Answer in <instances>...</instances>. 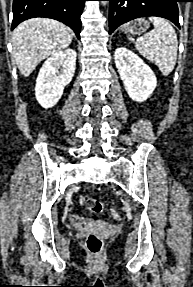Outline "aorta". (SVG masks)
<instances>
[{
	"label": "aorta",
	"mask_w": 193,
	"mask_h": 287,
	"mask_svg": "<svg viewBox=\"0 0 193 287\" xmlns=\"http://www.w3.org/2000/svg\"><path fill=\"white\" fill-rule=\"evenodd\" d=\"M102 3H103V5H105V4H106V2H105V1H103Z\"/></svg>",
	"instance_id": "1"
}]
</instances>
